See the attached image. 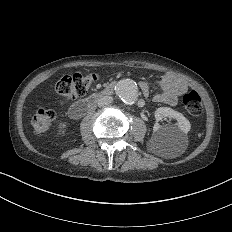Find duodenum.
<instances>
[{
    "instance_id": "obj_1",
    "label": "duodenum",
    "mask_w": 232,
    "mask_h": 232,
    "mask_svg": "<svg viewBox=\"0 0 232 232\" xmlns=\"http://www.w3.org/2000/svg\"><path fill=\"white\" fill-rule=\"evenodd\" d=\"M114 87L115 83L112 82L105 86L101 91L93 93L89 97L76 102L69 108V116L73 119H79L83 117L92 109V107L101 97L112 94Z\"/></svg>"
}]
</instances>
